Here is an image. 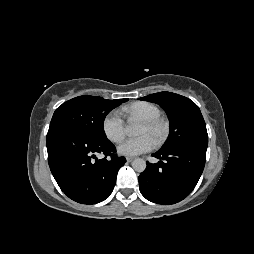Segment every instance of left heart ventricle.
<instances>
[{
    "instance_id": "obj_1",
    "label": "left heart ventricle",
    "mask_w": 254,
    "mask_h": 254,
    "mask_svg": "<svg viewBox=\"0 0 254 254\" xmlns=\"http://www.w3.org/2000/svg\"><path fill=\"white\" fill-rule=\"evenodd\" d=\"M158 133H159L158 129H152L143 123L141 124L140 130H139L140 135H149L153 140H155Z\"/></svg>"
}]
</instances>
